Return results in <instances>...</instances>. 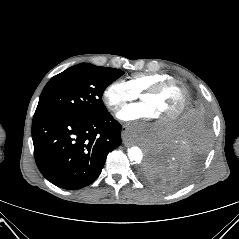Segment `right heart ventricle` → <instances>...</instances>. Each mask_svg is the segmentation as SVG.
<instances>
[{
    "mask_svg": "<svg viewBox=\"0 0 239 239\" xmlns=\"http://www.w3.org/2000/svg\"><path fill=\"white\" fill-rule=\"evenodd\" d=\"M172 77L166 73H137L125 81L130 89L137 95L144 89L161 82L163 80L171 79Z\"/></svg>",
    "mask_w": 239,
    "mask_h": 239,
    "instance_id": "e07e8e85",
    "label": "right heart ventricle"
}]
</instances>
